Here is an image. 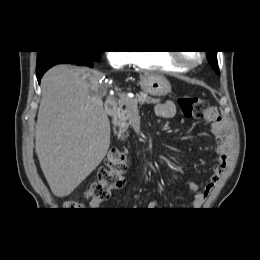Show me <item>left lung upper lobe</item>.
Masks as SVG:
<instances>
[{
    "instance_id": "1",
    "label": "left lung upper lobe",
    "mask_w": 260,
    "mask_h": 260,
    "mask_svg": "<svg viewBox=\"0 0 260 260\" xmlns=\"http://www.w3.org/2000/svg\"><path fill=\"white\" fill-rule=\"evenodd\" d=\"M207 58L211 66L215 69V71L219 74V67L216 58V51H207Z\"/></svg>"
}]
</instances>
